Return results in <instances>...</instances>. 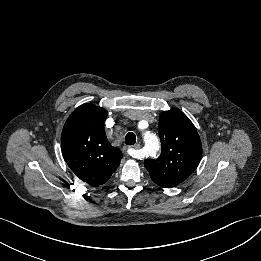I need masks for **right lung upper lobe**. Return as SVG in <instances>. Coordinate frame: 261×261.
<instances>
[{"label":"right lung upper lobe","instance_id":"1","mask_svg":"<svg viewBox=\"0 0 261 261\" xmlns=\"http://www.w3.org/2000/svg\"><path fill=\"white\" fill-rule=\"evenodd\" d=\"M107 114L100 107L83 104L69 116L61 135V150L69 168L93 187L107 182L122 159L121 150L107 140L103 126Z\"/></svg>","mask_w":261,"mask_h":261}]
</instances>
